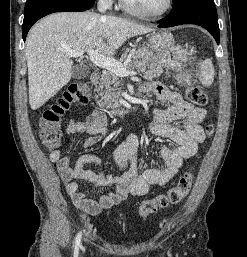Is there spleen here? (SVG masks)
<instances>
[{
	"instance_id": "3e777b00",
	"label": "spleen",
	"mask_w": 247,
	"mask_h": 257,
	"mask_svg": "<svg viewBox=\"0 0 247 257\" xmlns=\"http://www.w3.org/2000/svg\"><path fill=\"white\" fill-rule=\"evenodd\" d=\"M215 70L210 59L204 60L200 65L199 80L204 86H211L214 80Z\"/></svg>"
}]
</instances>
